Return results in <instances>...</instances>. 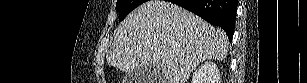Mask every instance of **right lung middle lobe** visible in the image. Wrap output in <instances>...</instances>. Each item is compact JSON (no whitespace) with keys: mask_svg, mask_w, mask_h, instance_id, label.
I'll use <instances>...</instances> for the list:
<instances>
[{"mask_svg":"<svg viewBox=\"0 0 307 83\" xmlns=\"http://www.w3.org/2000/svg\"><path fill=\"white\" fill-rule=\"evenodd\" d=\"M145 2L146 0H117L119 19L123 20L133 9Z\"/></svg>","mask_w":307,"mask_h":83,"instance_id":"dd1d6c3e","label":"right lung middle lobe"}]
</instances>
